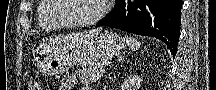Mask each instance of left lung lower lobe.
Wrapping results in <instances>:
<instances>
[{
	"instance_id": "0a47b994",
	"label": "left lung lower lobe",
	"mask_w": 216,
	"mask_h": 90,
	"mask_svg": "<svg viewBox=\"0 0 216 90\" xmlns=\"http://www.w3.org/2000/svg\"><path fill=\"white\" fill-rule=\"evenodd\" d=\"M117 6L99 26L156 37L177 53L180 35L182 0H116Z\"/></svg>"
}]
</instances>
